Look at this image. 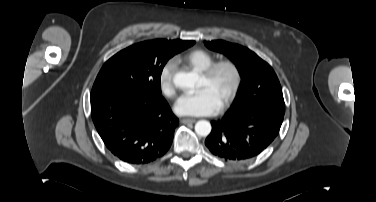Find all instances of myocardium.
Returning a JSON list of instances; mask_svg holds the SVG:
<instances>
[{
    "label": "myocardium",
    "instance_id": "obj_1",
    "mask_svg": "<svg viewBox=\"0 0 376 202\" xmlns=\"http://www.w3.org/2000/svg\"><path fill=\"white\" fill-rule=\"evenodd\" d=\"M223 68H227L231 71L233 82L227 96L220 105V110H225L226 108H228L238 94L243 80L241 69L234 60L223 59L213 62L208 68L201 72V77H203L207 81H211L218 73V71Z\"/></svg>",
    "mask_w": 376,
    "mask_h": 202
}]
</instances>
